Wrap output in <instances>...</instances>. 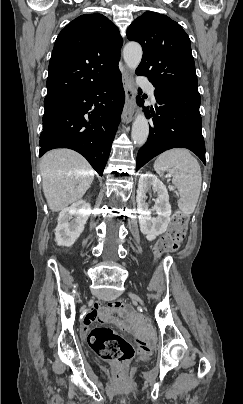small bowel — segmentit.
<instances>
[{"instance_id": "1", "label": "small bowel", "mask_w": 243, "mask_h": 404, "mask_svg": "<svg viewBox=\"0 0 243 404\" xmlns=\"http://www.w3.org/2000/svg\"><path fill=\"white\" fill-rule=\"evenodd\" d=\"M100 306L99 304H95L93 309L84 317L83 319V331L87 332L89 330V326L100 319L99 315V310Z\"/></svg>"}]
</instances>
